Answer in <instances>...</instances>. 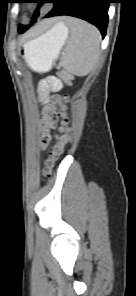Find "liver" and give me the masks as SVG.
Masks as SVG:
<instances>
[{
    "label": "liver",
    "instance_id": "liver-1",
    "mask_svg": "<svg viewBox=\"0 0 136 296\" xmlns=\"http://www.w3.org/2000/svg\"><path fill=\"white\" fill-rule=\"evenodd\" d=\"M49 23H50L49 20H46V21L42 22V23L36 28V30H40V29H42L45 25H47V24H49Z\"/></svg>",
    "mask_w": 136,
    "mask_h": 296
}]
</instances>
